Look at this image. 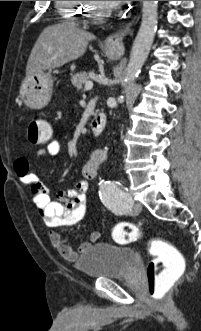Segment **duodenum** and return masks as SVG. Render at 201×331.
I'll return each mask as SVG.
<instances>
[{
    "instance_id": "410a0bca",
    "label": "duodenum",
    "mask_w": 201,
    "mask_h": 331,
    "mask_svg": "<svg viewBox=\"0 0 201 331\" xmlns=\"http://www.w3.org/2000/svg\"><path fill=\"white\" fill-rule=\"evenodd\" d=\"M106 126V116L102 112L95 113L91 121V130L94 135H99L103 132Z\"/></svg>"
}]
</instances>
